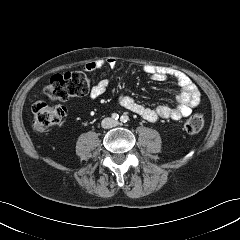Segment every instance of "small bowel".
<instances>
[{"mask_svg": "<svg viewBox=\"0 0 240 240\" xmlns=\"http://www.w3.org/2000/svg\"><path fill=\"white\" fill-rule=\"evenodd\" d=\"M115 68L117 60L113 57L99 59L86 64L85 69L89 72L100 70L103 67ZM143 72L156 82H165L172 78L180 88L177 96V105L170 107L168 105H159L157 107H148L129 95L119 96L117 103L139 115L149 122H155L161 119L179 120L191 114L192 109L200 102L201 94L198 88L193 84L190 78L176 70L154 65L143 66ZM109 86L108 79H102L97 82L90 91V98L97 99L102 96Z\"/></svg>", "mask_w": 240, "mask_h": 240, "instance_id": "1", "label": "small bowel"}]
</instances>
